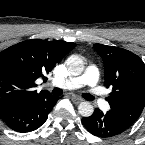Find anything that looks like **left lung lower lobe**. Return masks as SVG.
Instances as JSON below:
<instances>
[{
    "instance_id": "left-lung-lower-lobe-1",
    "label": "left lung lower lobe",
    "mask_w": 145,
    "mask_h": 145,
    "mask_svg": "<svg viewBox=\"0 0 145 145\" xmlns=\"http://www.w3.org/2000/svg\"><path fill=\"white\" fill-rule=\"evenodd\" d=\"M82 123L91 134L101 138L113 137L128 129L114 117L107 113L104 114L98 108L90 117L82 118Z\"/></svg>"
}]
</instances>
